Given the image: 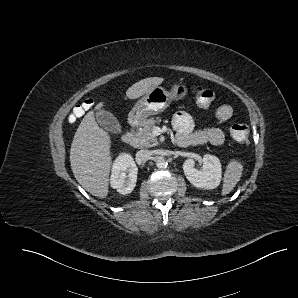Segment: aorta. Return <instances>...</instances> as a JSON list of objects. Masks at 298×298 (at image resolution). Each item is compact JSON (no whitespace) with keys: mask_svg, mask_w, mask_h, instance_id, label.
I'll return each mask as SVG.
<instances>
[{"mask_svg":"<svg viewBox=\"0 0 298 298\" xmlns=\"http://www.w3.org/2000/svg\"><path fill=\"white\" fill-rule=\"evenodd\" d=\"M167 160L164 158V157H158L157 159H156V166H157V168H159V169H164V168H166L167 167Z\"/></svg>","mask_w":298,"mask_h":298,"instance_id":"762f6f07","label":"aorta"}]
</instances>
